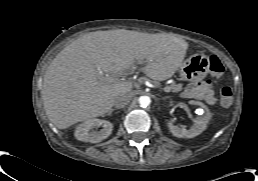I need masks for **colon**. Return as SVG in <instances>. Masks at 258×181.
<instances>
[{"label":"colon","mask_w":258,"mask_h":181,"mask_svg":"<svg viewBox=\"0 0 258 181\" xmlns=\"http://www.w3.org/2000/svg\"><path fill=\"white\" fill-rule=\"evenodd\" d=\"M209 69L215 77H221L224 73V66L220 59L216 56H211L209 59ZM221 105L229 107L233 101V93L231 88L225 86L221 89Z\"/></svg>","instance_id":"obj_1"}]
</instances>
